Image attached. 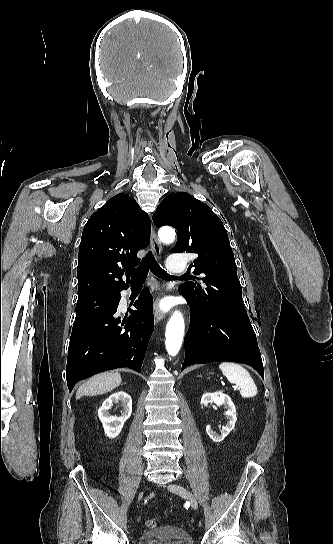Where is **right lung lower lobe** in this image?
<instances>
[{
    "label": "right lung lower lobe",
    "mask_w": 333,
    "mask_h": 544,
    "mask_svg": "<svg viewBox=\"0 0 333 544\" xmlns=\"http://www.w3.org/2000/svg\"><path fill=\"white\" fill-rule=\"evenodd\" d=\"M120 298L119 292L113 306L73 325L66 366L70 392L77 381L99 372L128 367L140 373L154 329L152 295L143 289L136 310L124 319L116 314Z\"/></svg>",
    "instance_id": "obj_1"
}]
</instances>
